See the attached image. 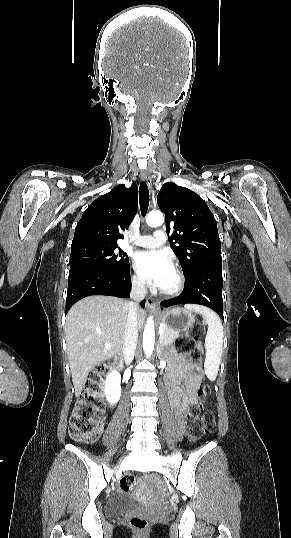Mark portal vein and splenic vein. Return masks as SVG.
<instances>
[{"label": "portal vein and splenic vein", "mask_w": 291, "mask_h": 538, "mask_svg": "<svg viewBox=\"0 0 291 538\" xmlns=\"http://www.w3.org/2000/svg\"><path fill=\"white\" fill-rule=\"evenodd\" d=\"M164 332V327L163 326H160L159 328V333L162 334Z\"/></svg>", "instance_id": "portal-vein-and-splenic-vein-1"}]
</instances>
